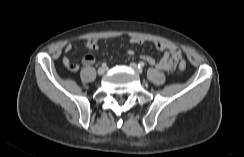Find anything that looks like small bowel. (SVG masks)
<instances>
[{
	"label": "small bowel",
	"mask_w": 244,
	"mask_h": 157,
	"mask_svg": "<svg viewBox=\"0 0 244 157\" xmlns=\"http://www.w3.org/2000/svg\"><path fill=\"white\" fill-rule=\"evenodd\" d=\"M131 44L141 45L144 43V40L141 38L133 37L130 39ZM85 45L91 49L96 50L99 48L100 43L97 39H89L85 42ZM153 45L160 51L164 52V56L159 60L155 61L152 57L148 55H143L141 58L146 61L149 65L155 66L159 70L163 71H172L176 68L177 63L182 57L180 49L173 43L170 42H163V41H156L153 42ZM72 50V45L68 44L65 47V52L68 53ZM128 54L130 56L134 55L133 50H128ZM95 62V58L92 54H86L83 59L82 63L84 66H91ZM63 64L66 68L71 71H76L78 67L70 62L67 57L63 58Z\"/></svg>",
	"instance_id": "obj_1"
}]
</instances>
